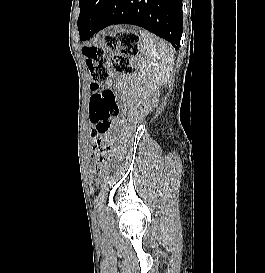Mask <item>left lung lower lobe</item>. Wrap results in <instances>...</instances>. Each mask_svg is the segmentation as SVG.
I'll use <instances>...</instances> for the list:
<instances>
[{
    "label": "left lung lower lobe",
    "instance_id": "obj_1",
    "mask_svg": "<svg viewBox=\"0 0 265 273\" xmlns=\"http://www.w3.org/2000/svg\"><path fill=\"white\" fill-rule=\"evenodd\" d=\"M182 22V0H98L84 15L79 33L81 40H87L107 26L133 24L179 49Z\"/></svg>",
    "mask_w": 265,
    "mask_h": 273
}]
</instances>
